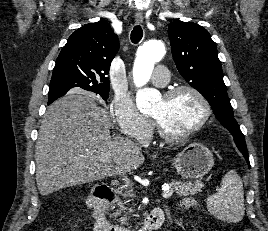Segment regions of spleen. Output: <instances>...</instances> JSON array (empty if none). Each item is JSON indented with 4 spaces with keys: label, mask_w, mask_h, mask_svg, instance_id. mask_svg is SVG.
Segmentation results:
<instances>
[{
    "label": "spleen",
    "mask_w": 268,
    "mask_h": 231,
    "mask_svg": "<svg viewBox=\"0 0 268 231\" xmlns=\"http://www.w3.org/2000/svg\"><path fill=\"white\" fill-rule=\"evenodd\" d=\"M207 208L220 220L234 223L242 220L245 210L243 183L235 171L225 174L218 192L208 197Z\"/></svg>",
    "instance_id": "3e777b00"
}]
</instances>
